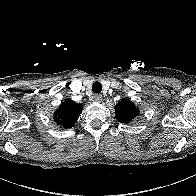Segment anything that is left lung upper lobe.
Segmentation results:
<instances>
[{
	"mask_svg": "<svg viewBox=\"0 0 196 196\" xmlns=\"http://www.w3.org/2000/svg\"><path fill=\"white\" fill-rule=\"evenodd\" d=\"M115 118L122 123H129L138 114L136 106L127 99H123L115 105Z\"/></svg>",
	"mask_w": 196,
	"mask_h": 196,
	"instance_id": "5c2ea615",
	"label": "left lung upper lobe"
}]
</instances>
